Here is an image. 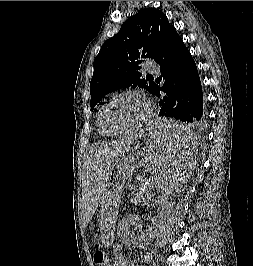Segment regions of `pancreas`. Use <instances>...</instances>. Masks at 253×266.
<instances>
[{"mask_svg":"<svg viewBox=\"0 0 253 266\" xmlns=\"http://www.w3.org/2000/svg\"><path fill=\"white\" fill-rule=\"evenodd\" d=\"M151 184H153V182H150ZM141 194H142V197H141ZM145 197L143 196V193L142 192H134V197H133V201H140V200H144Z\"/></svg>","mask_w":253,"mask_h":266,"instance_id":"cf45deb5","label":"pancreas"}]
</instances>
